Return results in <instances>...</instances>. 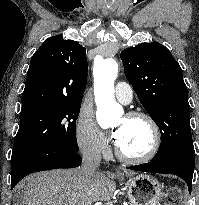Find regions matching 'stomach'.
<instances>
[{"label": "stomach", "instance_id": "1", "mask_svg": "<svg viewBox=\"0 0 199 205\" xmlns=\"http://www.w3.org/2000/svg\"><path fill=\"white\" fill-rule=\"evenodd\" d=\"M125 185L131 205H160L164 192L156 178L139 174L129 178Z\"/></svg>", "mask_w": 199, "mask_h": 205}]
</instances>
